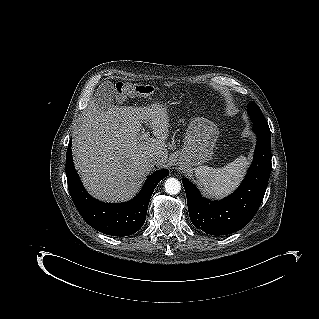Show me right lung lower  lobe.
I'll list each match as a JSON object with an SVG mask.
<instances>
[{"label":"right lung lower lobe","mask_w":319,"mask_h":319,"mask_svg":"<svg viewBox=\"0 0 319 319\" xmlns=\"http://www.w3.org/2000/svg\"><path fill=\"white\" fill-rule=\"evenodd\" d=\"M166 169L150 175L140 193L125 203H103L84 189L74 168L71 141L66 155V176L72 200L83 219L94 229L111 236H128L145 222L148 204L157 184L166 176Z\"/></svg>","instance_id":"obj_1"}]
</instances>
